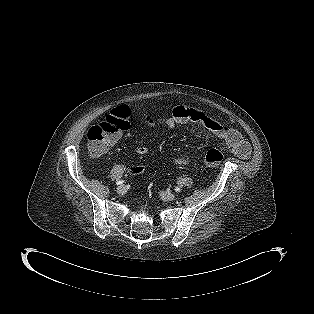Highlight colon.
<instances>
[{
  "mask_svg": "<svg viewBox=\"0 0 314 314\" xmlns=\"http://www.w3.org/2000/svg\"><path fill=\"white\" fill-rule=\"evenodd\" d=\"M130 109L123 105L117 107L103 122L91 126L87 133L88 150L93 156L107 151L111 142L129 128ZM223 160V154L210 149L205 156V167H214Z\"/></svg>",
  "mask_w": 314,
  "mask_h": 314,
  "instance_id": "5ec220e1",
  "label": "colon"
}]
</instances>
